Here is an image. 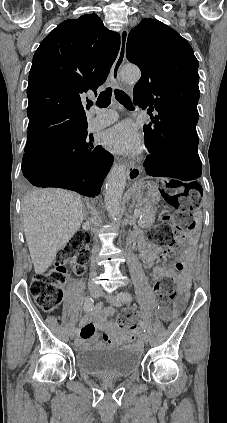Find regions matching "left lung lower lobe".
I'll return each instance as SVG.
<instances>
[{"mask_svg": "<svg viewBox=\"0 0 227 423\" xmlns=\"http://www.w3.org/2000/svg\"><path fill=\"white\" fill-rule=\"evenodd\" d=\"M143 126L145 140L151 155L145 162L146 172L155 177H174L194 180L201 176L197 121L161 119L152 117Z\"/></svg>", "mask_w": 227, "mask_h": 423, "instance_id": "0a47b994", "label": "left lung lower lobe"}]
</instances>
